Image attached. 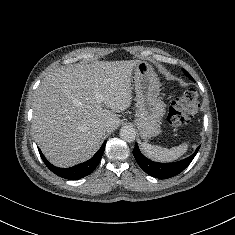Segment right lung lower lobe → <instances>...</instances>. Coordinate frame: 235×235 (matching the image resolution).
<instances>
[{
    "mask_svg": "<svg viewBox=\"0 0 235 235\" xmlns=\"http://www.w3.org/2000/svg\"><path fill=\"white\" fill-rule=\"evenodd\" d=\"M105 145H106V142L103 143L101 148L88 161L81 163L79 165L70 167V168H57V167H55L54 165L49 163L46 160V158L44 157V155L42 154V152L39 149L38 150H39V153H40L42 160L44 161L46 166L54 174H56L62 178H65V179L76 180V179L83 178L93 172V170L97 167V165L99 164V162L101 160V157H102L103 152L105 150Z\"/></svg>",
    "mask_w": 235,
    "mask_h": 235,
    "instance_id": "right-lung-lower-lobe-1",
    "label": "right lung lower lobe"
}]
</instances>
